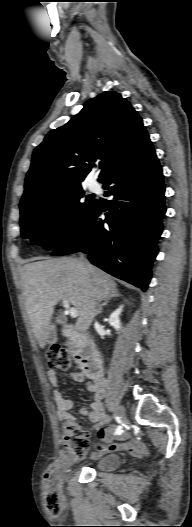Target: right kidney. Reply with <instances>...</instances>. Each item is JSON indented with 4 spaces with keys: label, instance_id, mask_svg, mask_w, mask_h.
<instances>
[{
    "label": "right kidney",
    "instance_id": "ca27d5eb",
    "mask_svg": "<svg viewBox=\"0 0 192 527\" xmlns=\"http://www.w3.org/2000/svg\"><path fill=\"white\" fill-rule=\"evenodd\" d=\"M122 309H123V306L121 305L109 317V324L117 331L121 329V323H120L119 316L122 312Z\"/></svg>",
    "mask_w": 192,
    "mask_h": 527
}]
</instances>
